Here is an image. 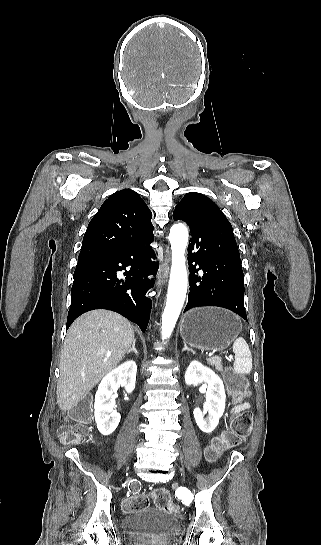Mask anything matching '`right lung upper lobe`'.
<instances>
[{"label":"right lung upper lobe","instance_id":"1","mask_svg":"<svg viewBox=\"0 0 321 545\" xmlns=\"http://www.w3.org/2000/svg\"><path fill=\"white\" fill-rule=\"evenodd\" d=\"M152 213L130 189L112 194L90 221L78 260L119 252L153 235Z\"/></svg>","mask_w":321,"mask_h":545}]
</instances>
